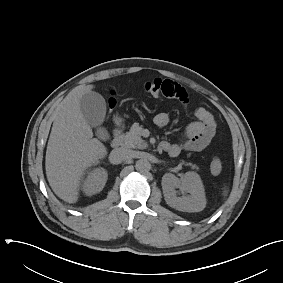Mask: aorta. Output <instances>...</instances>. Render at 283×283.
<instances>
[{"label": "aorta", "mask_w": 283, "mask_h": 283, "mask_svg": "<svg viewBox=\"0 0 283 283\" xmlns=\"http://www.w3.org/2000/svg\"><path fill=\"white\" fill-rule=\"evenodd\" d=\"M135 168L139 172H146L150 169V163L146 159H139L136 161Z\"/></svg>", "instance_id": "762f6f07"}]
</instances>
